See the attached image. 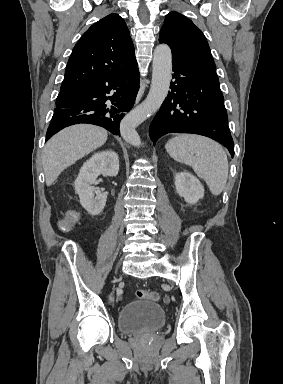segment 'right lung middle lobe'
<instances>
[{"label": "right lung middle lobe", "instance_id": "1", "mask_svg": "<svg viewBox=\"0 0 283 384\" xmlns=\"http://www.w3.org/2000/svg\"><path fill=\"white\" fill-rule=\"evenodd\" d=\"M72 93L73 92H69V91H60V93L57 97V100H56V104H59L61 102H64L65 100L69 99L72 96Z\"/></svg>", "mask_w": 283, "mask_h": 384}]
</instances>
